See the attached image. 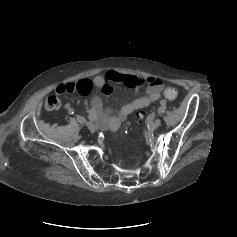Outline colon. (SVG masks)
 I'll list each match as a JSON object with an SVG mask.
<instances>
[{"label": "colon", "mask_w": 237, "mask_h": 237, "mask_svg": "<svg viewBox=\"0 0 237 237\" xmlns=\"http://www.w3.org/2000/svg\"><path fill=\"white\" fill-rule=\"evenodd\" d=\"M164 96L170 100L173 101L177 98L178 96V91L174 87H166L164 89ZM60 107V101L59 99L52 95L50 96L47 101H46V109L49 111H56Z\"/></svg>", "instance_id": "5ec220e1"}]
</instances>
